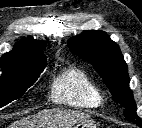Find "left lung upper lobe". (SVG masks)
Returning <instances> with one entry per match:
<instances>
[{"instance_id": "obj_1", "label": "left lung upper lobe", "mask_w": 142, "mask_h": 128, "mask_svg": "<svg viewBox=\"0 0 142 128\" xmlns=\"http://www.w3.org/2000/svg\"><path fill=\"white\" fill-rule=\"evenodd\" d=\"M68 47L93 65L115 100L125 107L127 120L140 125L141 119L136 115V103L129 88L127 65L119 46L105 32L90 30L69 39Z\"/></svg>"}]
</instances>
